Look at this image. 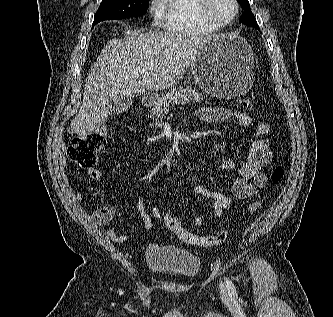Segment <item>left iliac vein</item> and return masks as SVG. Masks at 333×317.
I'll return each mask as SVG.
<instances>
[{"label":"left iliac vein","mask_w":333,"mask_h":317,"mask_svg":"<svg viewBox=\"0 0 333 317\" xmlns=\"http://www.w3.org/2000/svg\"><path fill=\"white\" fill-rule=\"evenodd\" d=\"M219 288H220V293H221L222 297L228 298V291H227V288L225 287V285L223 283H221Z\"/></svg>","instance_id":"obj_1"}]
</instances>
